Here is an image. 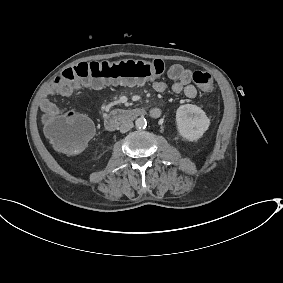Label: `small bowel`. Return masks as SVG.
<instances>
[{"mask_svg": "<svg viewBox=\"0 0 283 283\" xmlns=\"http://www.w3.org/2000/svg\"><path fill=\"white\" fill-rule=\"evenodd\" d=\"M167 76L173 81L171 90L174 93H183L188 98L197 96V89L191 84L192 72L180 64H173L167 71ZM152 88L157 92H165L168 86L165 82L154 80L151 82ZM75 87L69 83H63L56 79L45 92V97L41 102V108L46 115H62L64 110L55 104L51 98L54 96L68 97L72 95ZM150 114L154 118H160L162 111L158 107L150 109Z\"/></svg>", "mask_w": 283, "mask_h": 283, "instance_id": "obj_1", "label": "small bowel"}]
</instances>
